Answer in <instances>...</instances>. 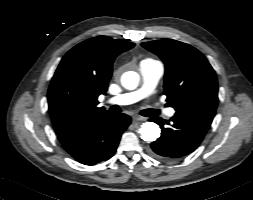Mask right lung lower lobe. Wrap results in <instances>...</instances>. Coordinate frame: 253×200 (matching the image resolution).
I'll use <instances>...</instances> for the list:
<instances>
[{"label": "right lung lower lobe", "mask_w": 253, "mask_h": 200, "mask_svg": "<svg viewBox=\"0 0 253 200\" xmlns=\"http://www.w3.org/2000/svg\"><path fill=\"white\" fill-rule=\"evenodd\" d=\"M131 122L125 114H106L101 118L58 134L65 150L85 165L108 160L116 152L122 133Z\"/></svg>", "instance_id": "98d812e1"}]
</instances>
